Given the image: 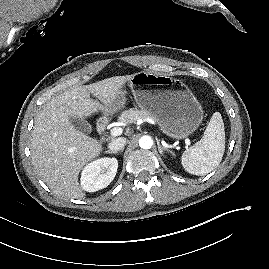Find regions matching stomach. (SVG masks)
<instances>
[{"instance_id": "1", "label": "stomach", "mask_w": 269, "mask_h": 269, "mask_svg": "<svg viewBox=\"0 0 269 269\" xmlns=\"http://www.w3.org/2000/svg\"><path fill=\"white\" fill-rule=\"evenodd\" d=\"M136 103L158 124L164 134L181 140L201 124L203 110L194 94L179 80L153 72H138L129 80ZM125 104L123 92L104 108L113 114Z\"/></svg>"}]
</instances>
